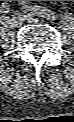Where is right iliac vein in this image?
Here are the masks:
<instances>
[{
  "label": "right iliac vein",
  "mask_w": 74,
  "mask_h": 122,
  "mask_svg": "<svg viewBox=\"0 0 74 122\" xmlns=\"http://www.w3.org/2000/svg\"><path fill=\"white\" fill-rule=\"evenodd\" d=\"M12 21L16 27H20L23 23V19L19 15H14Z\"/></svg>",
  "instance_id": "1"
}]
</instances>
